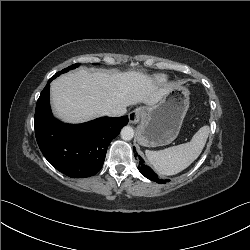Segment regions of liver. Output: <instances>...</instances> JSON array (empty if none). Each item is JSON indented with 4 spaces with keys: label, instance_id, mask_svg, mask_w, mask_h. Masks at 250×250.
Here are the masks:
<instances>
[{
    "label": "liver",
    "instance_id": "1",
    "mask_svg": "<svg viewBox=\"0 0 250 250\" xmlns=\"http://www.w3.org/2000/svg\"><path fill=\"white\" fill-rule=\"evenodd\" d=\"M176 85L159 86L149 75L128 71L107 73L79 69L51 83V101L55 115L68 123H83L126 107L157 104Z\"/></svg>",
    "mask_w": 250,
    "mask_h": 250
}]
</instances>
